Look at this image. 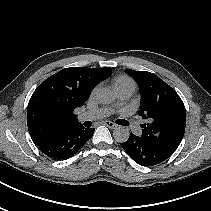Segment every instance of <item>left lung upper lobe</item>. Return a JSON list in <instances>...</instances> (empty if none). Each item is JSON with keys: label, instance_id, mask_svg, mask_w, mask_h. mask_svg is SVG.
<instances>
[{"label": "left lung upper lobe", "instance_id": "5c2ea615", "mask_svg": "<svg viewBox=\"0 0 211 211\" xmlns=\"http://www.w3.org/2000/svg\"><path fill=\"white\" fill-rule=\"evenodd\" d=\"M138 83L141 93L139 115L149 119L141 137L164 153L172 155L185 131V106L167 83L147 71L125 70Z\"/></svg>", "mask_w": 211, "mask_h": 211}]
</instances>
